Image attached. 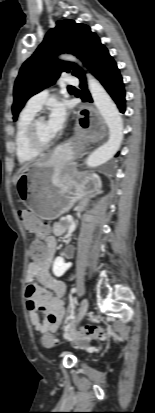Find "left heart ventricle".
<instances>
[{
	"instance_id": "obj_1",
	"label": "left heart ventricle",
	"mask_w": 155,
	"mask_h": 413,
	"mask_svg": "<svg viewBox=\"0 0 155 413\" xmlns=\"http://www.w3.org/2000/svg\"><path fill=\"white\" fill-rule=\"evenodd\" d=\"M37 134L41 141L46 142L53 138L47 130L46 121L44 119H40L37 123Z\"/></svg>"
}]
</instances>
